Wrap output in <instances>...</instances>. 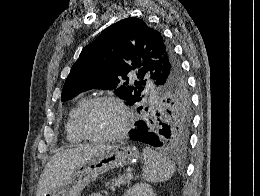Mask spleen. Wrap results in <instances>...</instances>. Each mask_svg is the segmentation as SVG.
<instances>
[{
  "instance_id": "1",
  "label": "spleen",
  "mask_w": 260,
  "mask_h": 196,
  "mask_svg": "<svg viewBox=\"0 0 260 196\" xmlns=\"http://www.w3.org/2000/svg\"><path fill=\"white\" fill-rule=\"evenodd\" d=\"M143 180L145 182H166L175 172V164L168 160L160 152H154L151 148L143 150Z\"/></svg>"
}]
</instances>
